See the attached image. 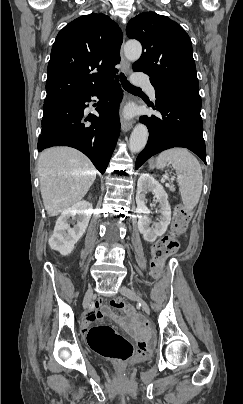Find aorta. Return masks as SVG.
<instances>
[{"instance_id": "aorta-1", "label": "aorta", "mask_w": 243, "mask_h": 404, "mask_svg": "<svg viewBox=\"0 0 243 404\" xmlns=\"http://www.w3.org/2000/svg\"><path fill=\"white\" fill-rule=\"evenodd\" d=\"M123 50L124 56L129 62H136L142 54V46L137 40H128V42L124 44ZM148 136L149 132L146 126H144V124H137V126L133 128V132L129 138L130 152H132V154L142 152L147 144Z\"/></svg>"}]
</instances>
